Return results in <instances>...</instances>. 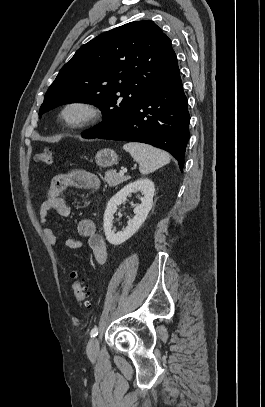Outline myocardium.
Here are the masks:
<instances>
[{"label": "myocardium", "instance_id": "1", "mask_svg": "<svg viewBox=\"0 0 265 407\" xmlns=\"http://www.w3.org/2000/svg\"><path fill=\"white\" fill-rule=\"evenodd\" d=\"M104 111L97 103L87 99H71L58 110L60 123L70 130H81L98 124Z\"/></svg>", "mask_w": 265, "mask_h": 407}]
</instances>
